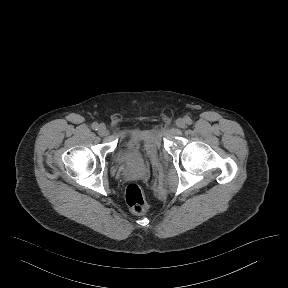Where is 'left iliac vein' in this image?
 Returning a JSON list of instances; mask_svg holds the SVG:
<instances>
[{
    "instance_id": "1",
    "label": "left iliac vein",
    "mask_w": 288,
    "mask_h": 288,
    "mask_svg": "<svg viewBox=\"0 0 288 288\" xmlns=\"http://www.w3.org/2000/svg\"><path fill=\"white\" fill-rule=\"evenodd\" d=\"M176 125H177V127H179V128H185V127H186V121H185V119H183V118H178V119L176 120Z\"/></svg>"
}]
</instances>
